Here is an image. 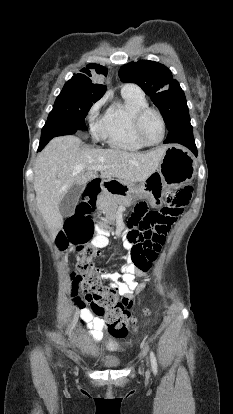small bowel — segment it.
I'll list each match as a JSON object with an SVG mask.
<instances>
[{
	"label": "small bowel",
	"mask_w": 233,
	"mask_h": 414,
	"mask_svg": "<svg viewBox=\"0 0 233 414\" xmlns=\"http://www.w3.org/2000/svg\"><path fill=\"white\" fill-rule=\"evenodd\" d=\"M183 207L179 208L174 214V220L177 216H179L182 213ZM173 220V222H174ZM172 222V223H173ZM96 237L93 240V245L97 248H104L108 245V237L105 233H99L96 232ZM116 235L118 236H125V231H118L116 232ZM126 251H129L128 244L125 243ZM79 251V250H76ZM123 259L125 260V264L123 263L122 267H112V270L106 269H99V273L101 272V278L103 280H111L109 281V286H111L112 293L114 294H120L121 296H125L128 298H131L133 296L134 292H139L145 287V283L138 284L134 280L135 275L144 276L147 273V270H142L138 268L131 260V257L128 254L123 256ZM101 269V271H100ZM120 270V272H114L113 270ZM110 272V273H109ZM69 276V288L72 289V294L70 295V302L71 305L74 306V308H77L79 310V315H76L74 312L69 313V319L76 323L78 328H82L86 326L88 330V335L90 339L94 342L99 341L102 336L104 330L107 329L105 326V323L103 321V311L104 306L98 305L94 303L93 299H90L92 297L91 291L85 292V298L82 299L80 297H77L74 292H79L80 284L83 283L84 273L79 270H69L68 271ZM73 280V281H72ZM108 284L107 282L105 283ZM88 298V299H87ZM101 314H100V313Z\"/></svg>",
	"instance_id": "small-bowel-1"
}]
</instances>
